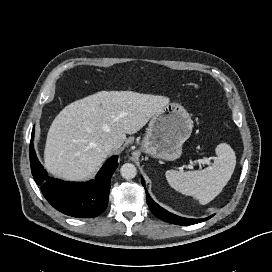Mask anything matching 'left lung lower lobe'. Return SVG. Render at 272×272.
Returning <instances> with one entry per match:
<instances>
[{"label": "left lung lower lobe", "instance_id": "obj_1", "mask_svg": "<svg viewBox=\"0 0 272 272\" xmlns=\"http://www.w3.org/2000/svg\"><path fill=\"white\" fill-rule=\"evenodd\" d=\"M141 181H142V185L145 187V182H144L143 178H141ZM146 199H147L148 206H149L150 210L152 211V213L157 218L164 220L165 222H168V223L177 224V225H191V224L203 222V221L208 220L209 218L212 217V216H210V217L203 218V219L183 218V217L174 215V214L166 211L162 207H160L157 203H155L153 201V199L150 197V195L148 194L147 191H146Z\"/></svg>", "mask_w": 272, "mask_h": 272}]
</instances>
